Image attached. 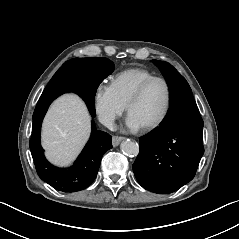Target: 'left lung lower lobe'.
I'll list each match as a JSON object with an SVG mask.
<instances>
[{"mask_svg":"<svg viewBox=\"0 0 239 239\" xmlns=\"http://www.w3.org/2000/svg\"><path fill=\"white\" fill-rule=\"evenodd\" d=\"M203 125L192 95L172 102L162 124L140 138V152L132 166L139 184L168 194L190 182L204 153Z\"/></svg>","mask_w":239,"mask_h":239,"instance_id":"left-lung-lower-lobe-1","label":"left lung lower lobe"}]
</instances>
